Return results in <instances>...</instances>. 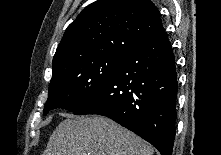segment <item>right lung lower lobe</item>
<instances>
[{"instance_id": "right-lung-lower-lobe-1", "label": "right lung lower lobe", "mask_w": 221, "mask_h": 155, "mask_svg": "<svg viewBox=\"0 0 221 155\" xmlns=\"http://www.w3.org/2000/svg\"><path fill=\"white\" fill-rule=\"evenodd\" d=\"M177 88L175 57L163 31L135 45L78 114L109 117L151 143L161 155H172Z\"/></svg>"}]
</instances>
